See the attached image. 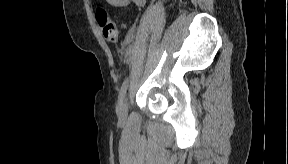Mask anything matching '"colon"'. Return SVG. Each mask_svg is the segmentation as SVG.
<instances>
[{
    "instance_id": "5ec220e1",
    "label": "colon",
    "mask_w": 288,
    "mask_h": 164,
    "mask_svg": "<svg viewBox=\"0 0 288 164\" xmlns=\"http://www.w3.org/2000/svg\"><path fill=\"white\" fill-rule=\"evenodd\" d=\"M96 19L102 29L104 37L108 41L115 42L119 39L121 29L115 21L108 18L105 11L99 10Z\"/></svg>"
}]
</instances>
